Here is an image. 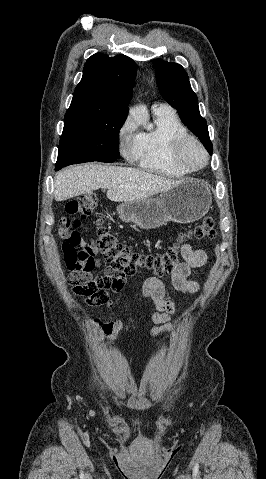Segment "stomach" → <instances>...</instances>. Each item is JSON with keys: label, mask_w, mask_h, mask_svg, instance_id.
I'll return each instance as SVG.
<instances>
[{"label": "stomach", "mask_w": 266, "mask_h": 479, "mask_svg": "<svg viewBox=\"0 0 266 479\" xmlns=\"http://www.w3.org/2000/svg\"><path fill=\"white\" fill-rule=\"evenodd\" d=\"M211 202L208 186L200 180L188 179L161 192L157 198L123 202L117 212L124 222H132L142 229H155L169 221H197L208 212Z\"/></svg>", "instance_id": "obj_1"}]
</instances>
